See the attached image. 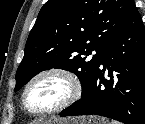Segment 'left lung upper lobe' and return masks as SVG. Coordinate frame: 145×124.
<instances>
[{
  "label": "left lung upper lobe",
  "mask_w": 145,
  "mask_h": 124,
  "mask_svg": "<svg viewBox=\"0 0 145 124\" xmlns=\"http://www.w3.org/2000/svg\"><path fill=\"white\" fill-rule=\"evenodd\" d=\"M134 8L133 0H48L27 39L14 91L39 72L59 68L78 76L83 95Z\"/></svg>",
  "instance_id": "5c2ea615"
}]
</instances>
